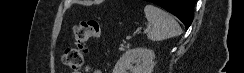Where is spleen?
I'll use <instances>...</instances> for the list:
<instances>
[{
	"instance_id": "1",
	"label": "spleen",
	"mask_w": 244,
	"mask_h": 73,
	"mask_svg": "<svg viewBox=\"0 0 244 73\" xmlns=\"http://www.w3.org/2000/svg\"><path fill=\"white\" fill-rule=\"evenodd\" d=\"M146 19L152 23V28L147 33L151 41H162L182 33V29L172 15L166 11L147 4L144 8Z\"/></svg>"
}]
</instances>
